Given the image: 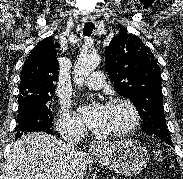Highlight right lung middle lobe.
Instances as JSON below:
<instances>
[{
    "instance_id": "obj_1",
    "label": "right lung middle lobe",
    "mask_w": 183,
    "mask_h": 179,
    "mask_svg": "<svg viewBox=\"0 0 183 179\" xmlns=\"http://www.w3.org/2000/svg\"><path fill=\"white\" fill-rule=\"evenodd\" d=\"M52 96L19 100L16 138L23 133L43 131L53 126V116L50 110Z\"/></svg>"
}]
</instances>
